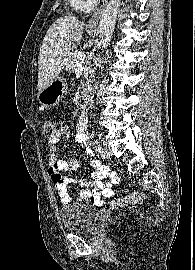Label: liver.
<instances>
[{
    "mask_svg": "<svg viewBox=\"0 0 195 270\" xmlns=\"http://www.w3.org/2000/svg\"><path fill=\"white\" fill-rule=\"evenodd\" d=\"M84 23L72 16L58 18L48 29L38 58V91L57 78L82 39Z\"/></svg>",
    "mask_w": 195,
    "mask_h": 270,
    "instance_id": "obj_1",
    "label": "liver"
}]
</instances>
